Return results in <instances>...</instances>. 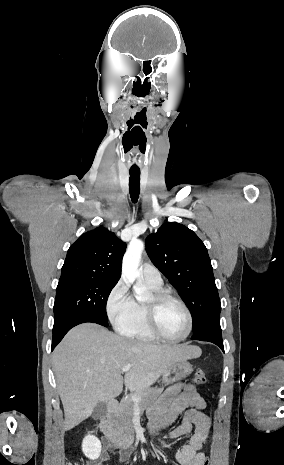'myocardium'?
<instances>
[{"mask_svg": "<svg viewBox=\"0 0 284 465\" xmlns=\"http://www.w3.org/2000/svg\"><path fill=\"white\" fill-rule=\"evenodd\" d=\"M167 302H173L179 305L186 313L188 319V328L184 336L179 339H169L166 338L159 330L158 321H159V314L160 310L163 305ZM147 321H146V328L148 332L157 340L162 343L167 344H178L185 341L190 334L192 333L194 327V319L193 315L188 308V306L179 298L171 295L170 293L159 290L156 291L150 300L144 304Z\"/></svg>", "mask_w": 284, "mask_h": 465, "instance_id": "f54148a6", "label": "myocardium"}]
</instances>
